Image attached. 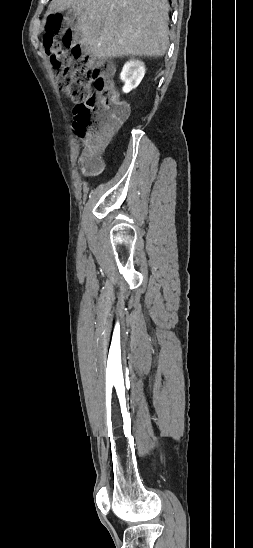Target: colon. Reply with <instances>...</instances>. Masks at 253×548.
Instances as JSON below:
<instances>
[{
  "label": "colon",
  "mask_w": 253,
  "mask_h": 548,
  "mask_svg": "<svg viewBox=\"0 0 253 548\" xmlns=\"http://www.w3.org/2000/svg\"><path fill=\"white\" fill-rule=\"evenodd\" d=\"M62 17L49 16L44 47L56 73L59 89L75 103L74 128L86 141L83 165L88 174L102 167L98 156L109 135L128 116V105L121 99L110 80L111 66L82 54L81 48L70 44L68 32L63 40L53 38L60 31Z\"/></svg>",
  "instance_id": "colon-1"
}]
</instances>
